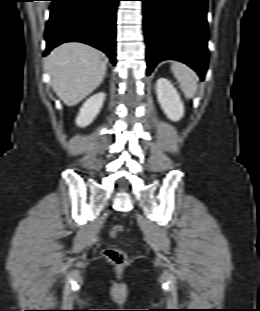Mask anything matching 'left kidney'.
<instances>
[{
	"label": "left kidney",
	"mask_w": 260,
	"mask_h": 311,
	"mask_svg": "<svg viewBox=\"0 0 260 311\" xmlns=\"http://www.w3.org/2000/svg\"><path fill=\"white\" fill-rule=\"evenodd\" d=\"M156 94L166 116L172 121H179L184 115V105L168 79L162 77L157 80Z\"/></svg>",
	"instance_id": "1"
}]
</instances>
